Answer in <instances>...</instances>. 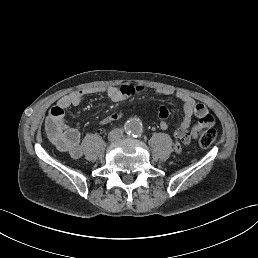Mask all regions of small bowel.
I'll use <instances>...</instances> for the list:
<instances>
[{"label":"small bowel","mask_w":258,"mask_h":258,"mask_svg":"<svg viewBox=\"0 0 258 258\" xmlns=\"http://www.w3.org/2000/svg\"><path fill=\"white\" fill-rule=\"evenodd\" d=\"M144 90L143 86H134L131 84H123L121 86H111L105 88H88L72 92L63 96L50 109L46 119V132L50 141L62 152L68 153L72 158L77 159L82 156V148L80 145V133L77 129L72 128L66 121V110L73 106H78L83 99L91 94L104 93L113 102H120L128 99L136 93ZM158 94L164 96H174L182 103L183 118L176 125L175 151L181 152V144H189L198 137L199 132L214 125V118L209 113L205 105L198 103L190 95L184 92H174L170 89H159ZM169 109L161 106L158 110L160 118V127L162 130L169 128L167 121L169 117ZM123 117L121 112H115L106 116L101 124L108 125ZM196 118V122H192Z\"/></svg>","instance_id":"small-bowel-1"}]
</instances>
